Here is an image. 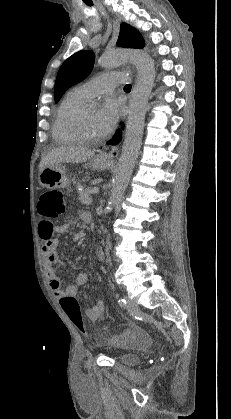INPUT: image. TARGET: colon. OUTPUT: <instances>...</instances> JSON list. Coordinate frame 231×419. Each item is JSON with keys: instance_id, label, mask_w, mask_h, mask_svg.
<instances>
[{"instance_id": "obj_1", "label": "colon", "mask_w": 231, "mask_h": 419, "mask_svg": "<svg viewBox=\"0 0 231 419\" xmlns=\"http://www.w3.org/2000/svg\"><path fill=\"white\" fill-rule=\"evenodd\" d=\"M38 213L48 219H57L61 217L66 210L65 193L60 189H51L44 192L38 201ZM63 311L67 314L73 324L83 333L86 329L82 320L80 306L77 300L72 296H64L60 300ZM125 338H113L109 340L112 346H122Z\"/></svg>"}]
</instances>
